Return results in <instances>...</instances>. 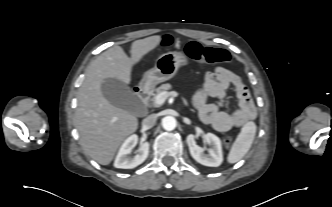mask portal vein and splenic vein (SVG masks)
<instances>
[{
    "label": "portal vein and splenic vein",
    "instance_id": "obj_1",
    "mask_svg": "<svg viewBox=\"0 0 332 207\" xmlns=\"http://www.w3.org/2000/svg\"><path fill=\"white\" fill-rule=\"evenodd\" d=\"M169 95H170V93H168V92L160 93L155 99V104L162 105Z\"/></svg>",
    "mask_w": 332,
    "mask_h": 207
}]
</instances>
